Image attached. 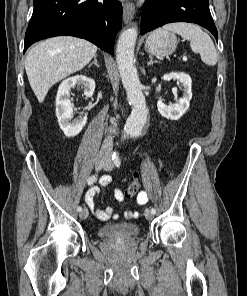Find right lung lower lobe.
<instances>
[{
	"label": "right lung lower lobe",
	"instance_id": "98d812e1",
	"mask_svg": "<svg viewBox=\"0 0 247 296\" xmlns=\"http://www.w3.org/2000/svg\"><path fill=\"white\" fill-rule=\"evenodd\" d=\"M24 52L34 42L53 36L84 38L114 53V38L121 28L122 5L117 0H33Z\"/></svg>",
	"mask_w": 247,
	"mask_h": 296
}]
</instances>
